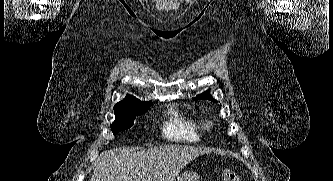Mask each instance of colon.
I'll use <instances>...</instances> for the list:
<instances>
[{
	"label": "colon",
	"mask_w": 333,
	"mask_h": 181,
	"mask_svg": "<svg viewBox=\"0 0 333 181\" xmlns=\"http://www.w3.org/2000/svg\"><path fill=\"white\" fill-rule=\"evenodd\" d=\"M223 181H240L238 174L229 167L222 170Z\"/></svg>",
	"instance_id": "5ec220e1"
}]
</instances>
